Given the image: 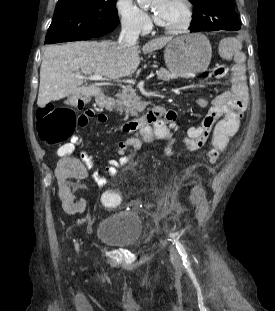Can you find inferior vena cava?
Wrapping results in <instances>:
<instances>
[{
	"instance_id": "1",
	"label": "inferior vena cava",
	"mask_w": 275,
	"mask_h": 311,
	"mask_svg": "<svg viewBox=\"0 0 275 311\" xmlns=\"http://www.w3.org/2000/svg\"><path fill=\"white\" fill-rule=\"evenodd\" d=\"M139 34V27L132 25H123L118 39V44L123 48L135 45Z\"/></svg>"
}]
</instances>
